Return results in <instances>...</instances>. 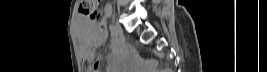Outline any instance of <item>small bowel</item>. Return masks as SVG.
I'll list each match as a JSON object with an SVG mask.
<instances>
[{
    "instance_id": "small-bowel-1",
    "label": "small bowel",
    "mask_w": 267,
    "mask_h": 72,
    "mask_svg": "<svg viewBox=\"0 0 267 72\" xmlns=\"http://www.w3.org/2000/svg\"><path fill=\"white\" fill-rule=\"evenodd\" d=\"M105 12L107 14H110L111 13V6L110 5H106L105 8H104ZM106 39V34H101V35H98V34H95V33H92L91 34V38H90V43L93 47H98L99 45H101ZM82 55H83V59L85 61H89V59L93 56V53L90 51V50H86L84 49L82 51ZM108 71H112V66H111V61H109V66H108Z\"/></svg>"
}]
</instances>
